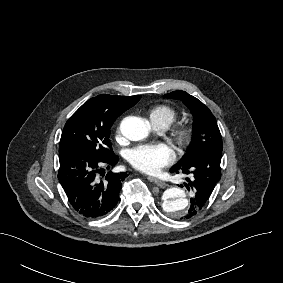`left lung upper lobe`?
<instances>
[{"label":"left lung upper lobe","mask_w":283,"mask_h":283,"mask_svg":"<svg viewBox=\"0 0 283 283\" xmlns=\"http://www.w3.org/2000/svg\"><path fill=\"white\" fill-rule=\"evenodd\" d=\"M165 97L181 100L193 115V134L189 149L179 164L187 165L200 155L222 151V137L214 115L201 101L185 91H174Z\"/></svg>","instance_id":"5c2ea615"}]
</instances>
